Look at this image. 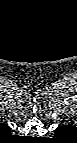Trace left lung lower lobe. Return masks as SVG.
Masks as SVG:
<instances>
[{
    "label": "left lung lower lobe",
    "instance_id": "left-lung-lower-lobe-1",
    "mask_svg": "<svg viewBox=\"0 0 77 143\" xmlns=\"http://www.w3.org/2000/svg\"><path fill=\"white\" fill-rule=\"evenodd\" d=\"M55 133H56L57 136L61 135V133L59 131H56Z\"/></svg>",
    "mask_w": 77,
    "mask_h": 143
}]
</instances>
